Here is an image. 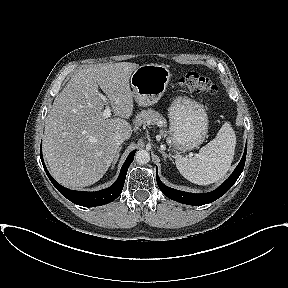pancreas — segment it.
I'll return each mask as SVG.
<instances>
[{"instance_id": "cf45deb5", "label": "pancreas", "mask_w": 288, "mask_h": 288, "mask_svg": "<svg viewBox=\"0 0 288 288\" xmlns=\"http://www.w3.org/2000/svg\"><path fill=\"white\" fill-rule=\"evenodd\" d=\"M134 124L136 126L157 125L162 128L166 126V120L157 111L153 109H148V110H142L136 115V118L134 119ZM160 133L162 135H165V131L163 130H161Z\"/></svg>"}]
</instances>
